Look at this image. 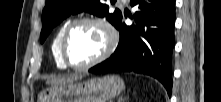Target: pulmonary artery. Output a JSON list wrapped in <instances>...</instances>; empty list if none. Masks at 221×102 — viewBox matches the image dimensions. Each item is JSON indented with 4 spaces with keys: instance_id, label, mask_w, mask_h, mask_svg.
<instances>
[{
    "instance_id": "pulmonary-artery-1",
    "label": "pulmonary artery",
    "mask_w": 221,
    "mask_h": 102,
    "mask_svg": "<svg viewBox=\"0 0 221 102\" xmlns=\"http://www.w3.org/2000/svg\"><path fill=\"white\" fill-rule=\"evenodd\" d=\"M123 2H127V0H123Z\"/></svg>"
}]
</instances>
